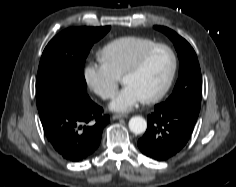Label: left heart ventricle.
<instances>
[{
    "label": "left heart ventricle",
    "mask_w": 236,
    "mask_h": 187,
    "mask_svg": "<svg viewBox=\"0 0 236 187\" xmlns=\"http://www.w3.org/2000/svg\"><path fill=\"white\" fill-rule=\"evenodd\" d=\"M171 68V57L164 49L153 51L142 68L134 75L122 79L125 86L137 90L143 99L157 93L167 81Z\"/></svg>",
    "instance_id": "1"
}]
</instances>
